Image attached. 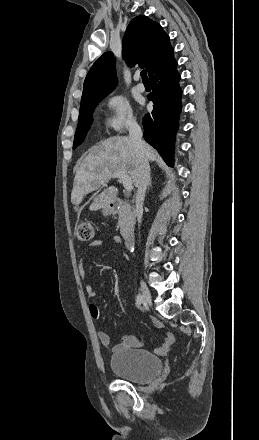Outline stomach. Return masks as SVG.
<instances>
[{"label":"stomach","instance_id":"1","mask_svg":"<svg viewBox=\"0 0 259 440\" xmlns=\"http://www.w3.org/2000/svg\"><path fill=\"white\" fill-rule=\"evenodd\" d=\"M102 212H103L104 216H109V215L113 214V211L108 206L103 208Z\"/></svg>","mask_w":259,"mask_h":440}]
</instances>
